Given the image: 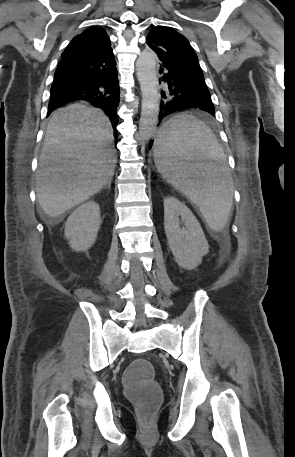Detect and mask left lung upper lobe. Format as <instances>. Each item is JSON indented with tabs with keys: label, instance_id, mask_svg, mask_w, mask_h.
I'll list each match as a JSON object with an SVG mask.
<instances>
[{
	"label": "left lung upper lobe",
	"instance_id": "5c2ea615",
	"mask_svg": "<svg viewBox=\"0 0 295 457\" xmlns=\"http://www.w3.org/2000/svg\"><path fill=\"white\" fill-rule=\"evenodd\" d=\"M146 42L159 47L174 59L201 70L194 49L188 40L174 29L165 26L154 27L149 32Z\"/></svg>",
	"mask_w": 295,
	"mask_h": 457
}]
</instances>
